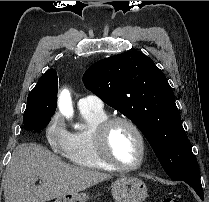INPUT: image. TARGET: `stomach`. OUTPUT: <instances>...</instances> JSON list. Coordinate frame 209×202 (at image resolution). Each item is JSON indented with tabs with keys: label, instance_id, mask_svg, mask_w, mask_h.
<instances>
[{
	"label": "stomach",
	"instance_id": "1",
	"mask_svg": "<svg viewBox=\"0 0 209 202\" xmlns=\"http://www.w3.org/2000/svg\"><path fill=\"white\" fill-rule=\"evenodd\" d=\"M112 196L115 202H143L147 197L145 183L135 177L122 176L112 184ZM85 192L58 197L55 202H87Z\"/></svg>",
	"mask_w": 209,
	"mask_h": 202
}]
</instances>
